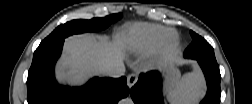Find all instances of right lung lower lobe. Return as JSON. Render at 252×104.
<instances>
[{
	"mask_svg": "<svg viewBox=\"0 0 252 104\" xmlns=\"http://www.w3.org/2000/svg\"><path fill=\"white\" fill-rule=\"evenodd\" d=\"M63 43L61 40L39 46L34 52L27 79L29 104H116L128 96L125 77H95L77 88L60 86L55 80L54 67Z\"/></svg>",
	"mask_w": 252,
	"mask_h": 104,
	"instance_id": "1",
	"label": "right lung lower lobe"
}]
</instances>
